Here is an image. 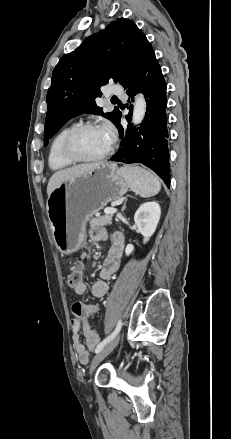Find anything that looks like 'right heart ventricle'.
I'll use <instances>...</instances> for the list:
<instances>
[{
	"label": "right heart ventricle",
	"mask_w": 231,
	"mask_h": 439,
	"mask_svg": "<svg viewBox=\"0 0 231 439\" xmlns=\"http://www.w3.org/2000/svg\"><path fill=\"white\" fill-rule=\"evenodd\" d=\"M71 126L62 128L52 139L48 150V166L53 171L69 168L73 163L68 161L61 153V141Z\"/></svg>",
	"instance_id": "obj_1"
}]
</instances>
